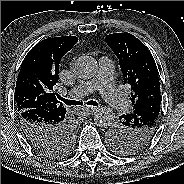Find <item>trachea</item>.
<instances>
[{"instance_id":"3493384b","label":"trachea","mask_w":184,"mask_h":184,"mask_svg":"<svg viewBox=\"0 0 184 184\" xmlns=\"http://www.w3.org/2000/svg\"><path fill=\"white\" fill-rule=\"evenodd\" d=\"M57 97L59 100H61L62 102H64L68 106L83 105V102H81V101L65 99V98L61 97L60 95H57ZM86 104L92 105V106H98V103L96 101H93V100L86 102Z\"/></svg>"}]
</instances>
